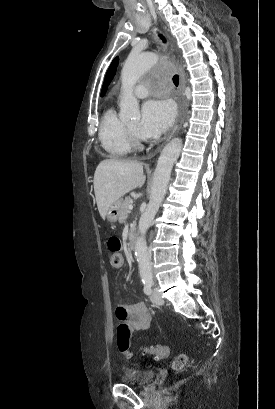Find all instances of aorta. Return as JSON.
<instances>
[{"mask_svg": "<svg viewBox=\"0 0 275 409\" xmlns=\"http://www.w3.org/2000/svg\"><path fill=\"white\" fill-rule=\"evenodd\" d=\"M165 51H128L121 70L122 96L120 98V120H140L139 100L133 94V86L144 74L146 65H159L165 60ZM182 138H172L164 146L153 176L150 200L139 221V237L135 243V255L138 261L142 281H152V267L148 257L145 235L149 229L167 190L172 166L176 162L181 148Z\"/></svg>", "mask_w": 275, "mask_h": 409, "instance_id": "1", "label": "aorta"}]
</instances>
